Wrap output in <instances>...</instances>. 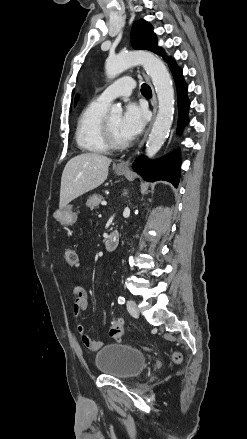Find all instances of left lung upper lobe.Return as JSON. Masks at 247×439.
<instances>
[{
	"label": "left lung upper lobe",
	"mask_w": 247,
	"mask_h": 439,
	"mask_svg": "<svg viewBox=\"0 0 247 439\" xmlns=\"http://www.w3.org/2000/svg\"><path fill=\"white\" fill-rule=\"evenodd\" d=\"M131 42L135 49H146L162 55L165 61L168 62L169 66L174 62L173 59L170 60L169 57L163 55V49L159 48L157 45V37L153 32V27L143 19L138 20L133 24Z\"/></svg>",
	"instance_id": "obj_1"
}]
</instances>
